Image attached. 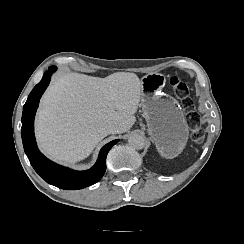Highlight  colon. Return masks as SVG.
<instances>
[{
    "label": "colon",
    "mask_w": 244,
    "mask_h": 244,
    "mask_svg": "<svg viewBox=\"0 0 244 244\" xmlns=\"http://www.w3.org/2000/svg\"><path fill=\"white\" fill-rule=\"evenodd\" d=\"M169 84L180 98L188 120L195 125V128L192 132V139L195 142H201L204 139V130L199 127V122L197 121L199 116L195 112L194 101L189 95L190 89L188 85L178 77L170 78Z\"/></svg>",
    "instance_id": "5ec220e1"
}]
</instances>
